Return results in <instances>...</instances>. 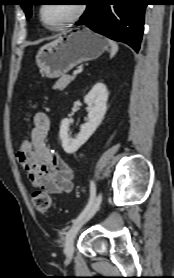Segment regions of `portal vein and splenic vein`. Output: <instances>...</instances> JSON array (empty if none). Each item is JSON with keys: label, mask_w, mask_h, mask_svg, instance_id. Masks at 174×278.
Wrapping results in <instances>:
<instances>
[{"label": "portal vein and splenic vein", "mask_w": 174, "mask_h": 278, "mask_svg": "<svg viewBox=\"0 0 174 278\" xmlns=\"http://www.w3.org/2000/svg\"><path fill=\"white\" fill-rule=\"evenodd\" d=\"M78 73H79L78 70H74V72H73L74 75H77Z\"/></svg>", "instance_id": "obj_1"}]
</instances>
